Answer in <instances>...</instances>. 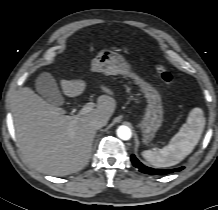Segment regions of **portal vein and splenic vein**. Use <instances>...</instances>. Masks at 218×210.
Returning a JSON list of instances; mask_svg holds the SVG:
<instances>
[{"label": "portal vein and splenic vein", "instance_id": "obj_1", "mask_svg": "<svg viewBox=\"0 0 218 210\" xmlns=\"http://www.w3.org/2000/svg\"><path fill=\"white\" fill-rule=\"evenodd\" d=\"M94 108V103L93 102H89L86 105L83 106V108L78 112V114L76 115V117H81L89 112H91Z\"/></svg>", "mask_w": 218, "mask_h": 210}]
</instances>
